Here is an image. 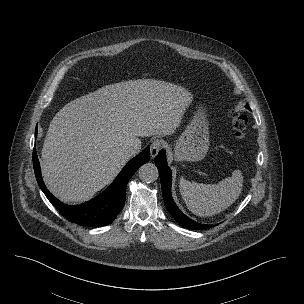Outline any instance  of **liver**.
I'll list each match as a JSON object with an SVG mask.
<instances>
[{
  "label": "liver",
  "mask_w": 304,
  "mask_h": 304,
  "mask_svg": "<svg viewBox=\"0 0 304 304\" xmlns=\"http://www.w3.org/2000/svg\"><path fill=\"white\" fill-rule=\"evenodd\" d=\"M192 99L176 84L138 79L67 103L52 119L41 152L47 188L64 201L91 198L127 163V144L173 134Z\"/></svg>",
  "instance_id": "6515ba94"
}]
</instances>
